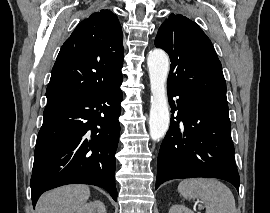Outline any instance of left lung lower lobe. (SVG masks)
<instances>
[{"label": "left lung lower lobe", "instance_id": "left-lung-lower-lobe-1", "mask_svg": "<svg viewBox=\"0 0 270 213\" xmlns=\"http://www.w3.org/2000/svg\"><path fill=\"white\" fill-rule=\"evenodd\" d=\"M173 96L179 97L173 106L178 113L176 121L171 116L160 147L155 189L171 179L209 177L231 182L239 191L228 105L168 88L171 106L175 104ZM180 121L184 128H179Z\"/></svg>", "mask_w": 270, "mask_h": 213}]
</instances>
